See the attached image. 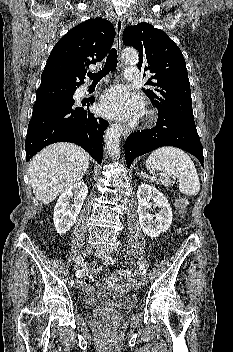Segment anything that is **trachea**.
<instances>
[{"mask_svg": "<svg viewBox=\"0 0 233 352\" xmlns=\"http://www.w3.org/2000/svg\"><path fill=\"white\" fill-rule=\"evenodd\" d=\"M117 57H118L117 50L115 48L111 49L103 69L97 73H88L87 76L94 82H98L100 79L106 76L110 71H113L116 69Z\"/></svg>", "mask_w": 233, "mask_h": 352, "instance_id": "obj_1", "label": "trachea"}]
</instances>
